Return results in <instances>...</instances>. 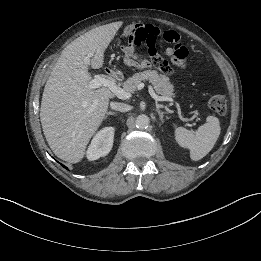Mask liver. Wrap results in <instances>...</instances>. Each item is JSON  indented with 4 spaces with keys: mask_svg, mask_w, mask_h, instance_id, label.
Instances as JSON below:
<instances>
[{
    "mask_svg": "<svg viewBox=\"0 0 261 261\" xmlns=\"http://www.w3.org/2000/svg\"><path fill=\"white\" fill-rule=\"evenodd\" d=\"M115 32L112 25H105L76 38L62 51L44 87L40 108L43 132L54 154L64 161L83 159L114 97L107 87H89L92 77L85 57L92 53L91 67H102Z\"/></svg>",
    "mask_w": 261,
    "mask_h": 261,
    "instance_id": "6515ba94",
    "label": "liver"
}]
</instances>
